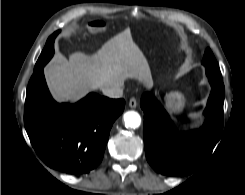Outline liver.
<instances>
[{
  "label": "liver",
  "mask_w": 245,
  "mask_h": 195,
  "mask_svg": "<svg viewBox=\"0 0 245 195\" xmlns=\"http://www.w3.org/2000/svg\"><path fill=\"white\" fill-rule=\"evenodd\" d=\"M49 87L57 99L77 101L89 90L122 87L125 80L137 79L152 85L148 61L126 29L107 41L94 55L75 52L69 60L58 53L45 67Z\"/></svg>",
  "instance_id": "liver-1"
}]
</instances>
